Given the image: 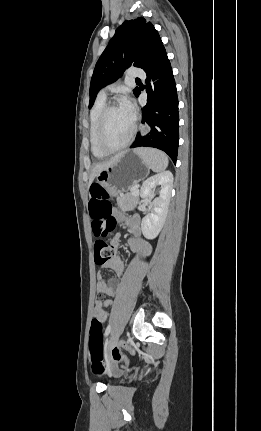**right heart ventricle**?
<instances>
[{
	"instance_id": "e07e8e85",
	"label": "right heart ventricle",
	"mask_w": 261,
	"mask_h": 431,
	"mask_svg": "<svg viewBox=\"0 0 261 431\" xmlns=\"http://www.w3.org/2000/svg\"><path fill=\"white\" fill-rule=\"evenodd\" d=\"M105 106V95L100 94L90 112L89 142L91 152L96 158H104L107 156L106 153L100 150L97 144V128L99 123V117Z\"/></svg>"
}]
</instances>
